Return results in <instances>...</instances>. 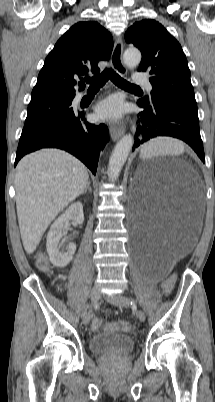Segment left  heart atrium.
<instances>
[{
  "label": "left heart atrium",
  "mask_w": 215,
  "mask_h": 402,
  "mask_svg": "<svg viewBox=\"0 0 215 402\" xmlns=\"http://www.w3.org/2000/svg\"><path fill=\"white\" fill-rule=\"evenodd\" d=\"M122 114V105L115 98H109L102 102L96 109V116L99 119L116 120Z\"/></svg>",
  "instance_id": "left-heart-atrium-1"
}]
</instances>
